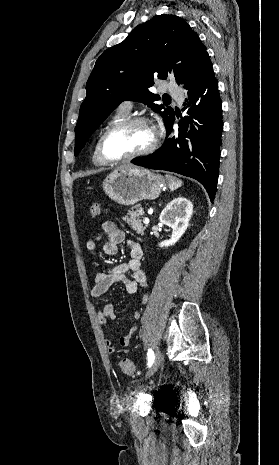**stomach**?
I'll use <instances>...</instances> for the list:
<instances>
[{"label":"stomach","instance_id":"obj_1","mask_svg":"<svg viewBox=\"0 0 279 465\" xmlns=\"http://www.w3.org/2000/svg\"><path fill=\"white\" fill-rule=\"evenodd\" d=\"M165 185L163 176L136 167L117 168L102 183L106 195L125 206L157 198Z\"/></svg>","mask_w":279,"mask_h":465}]
</instances>
